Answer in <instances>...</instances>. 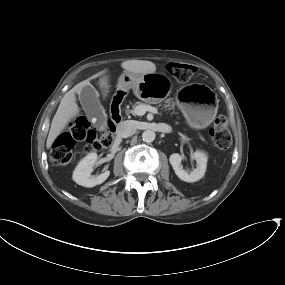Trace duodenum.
Segmentation results:
<instances>
[{"mask_svg": "<svg viewBox=\"0 0 285 285\" xmlns=\"http://www.w3.org/2000/svg\"><path fill=\"white\" fill-rule=\"evenodd\" d=\"M122 103H123V96L121 94H116L113 98L110 108L111 118L115 124H119L122 120V113H121Z\"/></svg>", "mask_w": 285, "mask_h": 285, "instance_id": "obj_1", "label": "duodenum"}]
</instances>
